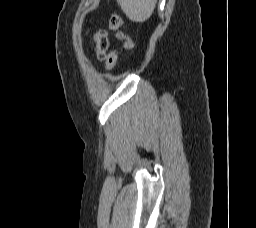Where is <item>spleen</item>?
Masks as SVG:
<instances>
[{
    "mask_svg": "<svg viewBox=\"0 0 256 228\" xmlns=\"http://www.w3.org/2000/svg\"><path fill=\"white\" fill-rule=\"evenodd\" d=\"M157 0H117L126 16L133 22L142 23L152 15Z\"/></svg>",
    "mask_w": 256,
    "mask_h": 228,
    "instance_id": "spleen-1",
    "label": "spleen"
}]
</instances>
